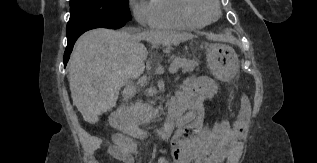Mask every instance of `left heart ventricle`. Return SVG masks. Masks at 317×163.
Returning <instances> with one entry per match:
<instances>
[{"label":"left heart ventricle","instance_id":"1","mask_svg":"<svg viewBox=\"0 0 317 163\" xmlns=\"http://www.w3.org/2000/svg\"><path fill=\"white\" fill-rule=\"evenodd\" d=\"M206 1L207 0H202V2L200 3V7H201L202 11L208 16H214L215 12H214L213 8Z\"/></svg>","mask_w":317,"mask_h":163}]
</instances>
